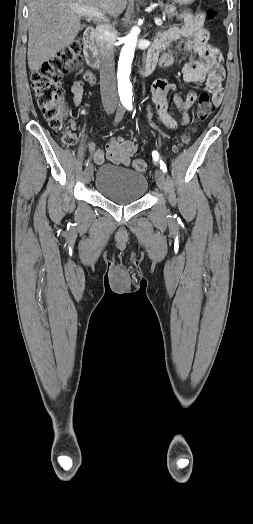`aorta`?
<instances>
[{
  "label": "aorta",
  "instance_id": "762f6f07",
  "mask_svg": "<svg viewBox=\"0 0 253 524\" xmlns=\"http://www.w3.org/2000/svg\"><path fill=\"white\" fill-rule=\"evenodd\" d=\"M138 33V28H133L131 30L124 39V46L120 53L117 79L119 96L122 101L132 100V84L129 76L131 73V64L134 57Z\"/></svg>",
  "mask_w": 253,
  "mask_h": 524
}]
</instances>
